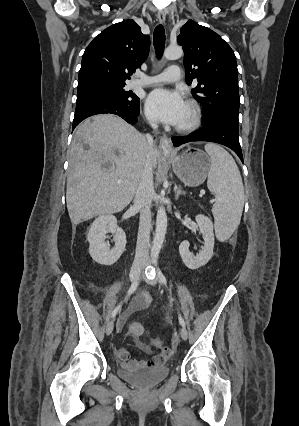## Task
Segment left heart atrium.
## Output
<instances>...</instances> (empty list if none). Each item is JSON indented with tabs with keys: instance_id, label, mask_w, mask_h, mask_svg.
Segmentation results:
<instances>
[{
	"instance_id": "39dd6f15",
	"label": "left heart atrium",
	"mask_w": 299,
	"mask_h": 426,
	"mask_svg": "<svg viewBox=\"0 0 299 426\" xmlns=\"http://www.w3.org/2000/svg\"><path fill=\"white\" fill-rule=\"evenodd\" d=\"M185 110L186 103L178 92L155 89L146 99L147 114L166 124L179 125Z\"/></svg>"
}]
</instances>
